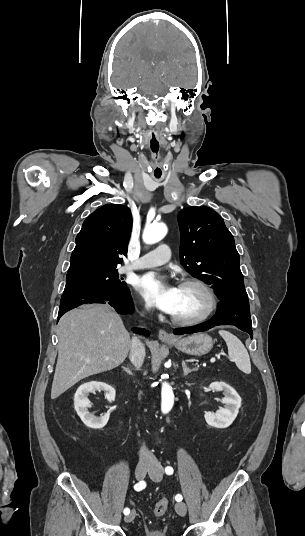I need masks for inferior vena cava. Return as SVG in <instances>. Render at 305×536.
<instances>
[{
    "label": "inferior vena cava",
    "instance_id": "obj_1",
    "mask_svg": "<svg viewBox=\"0 0 305 536\" xmlns=\"http://www.w3.org/2000/svg\"><path fill=\"white\" fill-rule=\"evenodd\" d=\"M129 358L132 364H134L137 370H139L140 366H142L144 362L145 346L144 344H141L137 338H133L131 342ZM139 458L142 460V462H149L153 456L151 452H148L147 448H141Z\"/></svg>",
    "mask_w": 305,
    "mask_h": 536
}]
</instances>
